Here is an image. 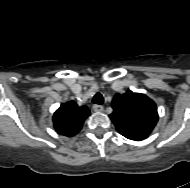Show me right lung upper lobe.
<instances>
[{
	"label": "right lung upper lobe",
	"instance_id": "cb5924a9",
	"mask_svg": "<svg viewBox=\"0 0 190 188\" xmlns=\"http://www.w3.org/2000/svg\"><path fill=\"white\" fill-rule=\"evenodd\" d=\"M89 115L90 110L75 101L62 103L53 115L54 128L58 134L72 137L81 130Z\"/></svg>",
	"mask_w": 190,
	"mask_h": 188
}]
</instances>
